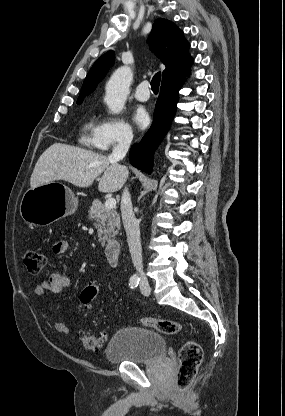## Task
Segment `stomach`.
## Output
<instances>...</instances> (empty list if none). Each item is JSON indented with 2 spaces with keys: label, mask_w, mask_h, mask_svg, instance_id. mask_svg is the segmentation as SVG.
<instances>
[{
  "label": "stomach",
  "mask_w": 285,
  "mask_h": 416,
  "mask_svg": "<svg viewBox=\"0 0 285 416\" xmlns=\"http://www.w3.org/2000/svg\"><path fill=\"white\" fill-rule=\"evenodd\" d=\"M77 208L78 200L73 192L61 182H52L25 192L20 204V216L27 224L49 226L71 216Z\"/></svg>",
  "instance_id": "0dacf381"
}]
</instances>
